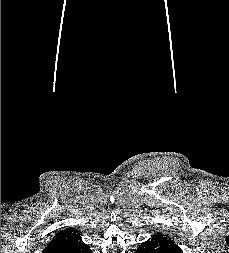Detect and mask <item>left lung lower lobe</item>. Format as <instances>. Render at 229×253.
Here are the masks:
<instances>
[{"instance_id": "0a47b994", "label": "left lung lower lobe", "mask_w": 229, "mask_h": 253, "mask_svg": "<svg viewBox=\"0 0 229 253\" xmlns=\"http://www.w3.org/2000/svg\"><path fill=\"white\" fill-rule=\"evenodd\" d=\"M136 253H183L181 248L171 239L152 237L143 242Z\"/></svg>"}]
</instances>
